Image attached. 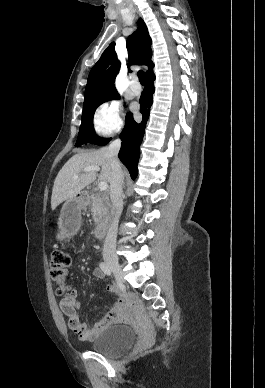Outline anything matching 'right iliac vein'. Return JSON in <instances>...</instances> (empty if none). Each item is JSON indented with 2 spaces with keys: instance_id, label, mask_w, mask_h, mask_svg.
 <instances>
[{
  "instance_id": "obj_1",
  "label": "right iliac vein",
  "mask_w": 265,
  "mask_h": 388,
  "mask_svg": "<svg viewBox=\"0 0 265 388\" xmlns=\"http://www.w3.org/2000/svg\"><path fill=\"white\" fill-rule=\"evenodd\" d=\"M106 264L109 266V268L113 271L117 281L119 282V285L124 284V276L122 269L119 265V262L116 257L113 256H105L104 257Z\"/></svg>"
}]
</instances>
